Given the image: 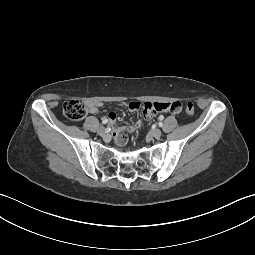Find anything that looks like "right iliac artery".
<instances>
[{"mask_svg": "<svg viewBox=\"0 0 255 255\" xmlns=\"http://www.w3.org/2000/svg\"><path fill=\"white\" fill-rule=\"evenodd\" d=\"M107 122H108V120L106 118L102 120L103 124H106Z\"/></svg>", "mask_w": 255, "mask_h": 255, "instance_id": "82829eb1", "label": "right iliac artery"}]
</instances>
